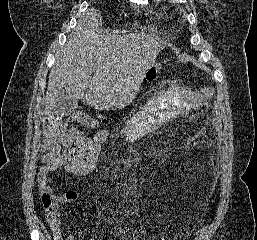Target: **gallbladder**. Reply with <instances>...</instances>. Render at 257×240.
I'll return each mask as SVG.
<instances>
[{"label": "gallbladder", "mask_w": 257, "mask_h": 240, "mask_svg": "<svg viewBox=\"0 0 257 240\" xmlns=\"http://www.w3.org/2000/svg\"><path fill=\"white\" fill-rule=\"evenodd\" d=\"M78 107V102L69 99L64 93H61L56 102L53 111L58 116H67L73 113Z\"/></svg>", "instance_id": "1"}]
</instances>
